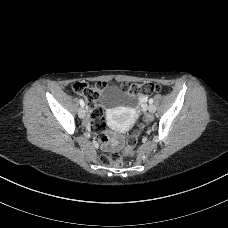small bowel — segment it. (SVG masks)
<instances>
[{
  "label": "small bowel",
  "mask_w": 228,
  "mask_h": 228,
  "mask_svg": "<svg viewBox=\"0 0 228 228\" xmlns=\"http://www.w3.org/2000/svg\"><path fill=\"white\" fill-rule=\"evenodd\" d=\"M86 125L88 128H90V117L88 118ZM99 138L102 142L103 148L106 150L114 147H120L124 143V137L121 134L114 131H107L104 134H102Z\"/></svg>",
  "instance_id": "obj_1"
}]
</instances>
